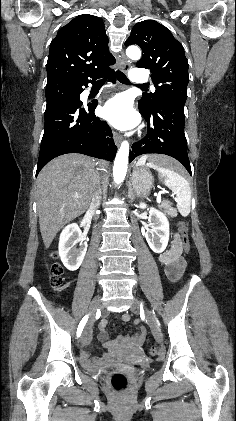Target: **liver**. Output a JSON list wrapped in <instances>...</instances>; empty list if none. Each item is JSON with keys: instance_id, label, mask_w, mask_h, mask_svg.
Segmentation results:
<instances>
[{"instance_id": "obj_1", "label": "liver", "mask_w": 236, "mask_h": 421, "mask_svg": "<svg viewBox=\"0 0 236 421\" xmlns=\"http://www.w3.org/2000/svg\"><path fill=\"white\" fill-rule=\"evenodd\" d=\"M150 162L163 164L173 158L163 154H147ZM96 168L106 170V160L69 152L50 160L36 178L37 211L40 233L48 249L64 225L85 213L90 204L95 184ZM73 194H78L75 200Z\"/></svg>"}]
</instances>
